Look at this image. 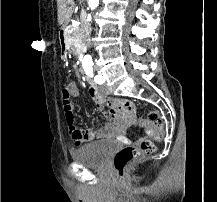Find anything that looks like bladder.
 <instances>
[{"label":"bladder","mask_w":217,"mask_h":202,"mask_svg":"<svg viewBox=\"0 0 217 202\" xmlns=\"http://www.w3.org/2000/svg\"><path fill=\"white\" fill-rule=\"evenodd\" d=\"M117 146L118 143L116 140L95 142L80 149L73 150L71 157L84 166H100L117 149Z\"/></svg>","instance_id":"31cf9c89"}]
</instances>
